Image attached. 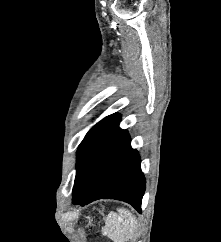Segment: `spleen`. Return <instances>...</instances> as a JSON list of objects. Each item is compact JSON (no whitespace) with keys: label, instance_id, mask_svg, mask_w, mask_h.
<instances>
[{"label":"spleen","instance_id":"3e777b00","mask_svg":"<svg viewBox=\"0 0 221 242\" xmlns=\"http://www.w3.org/2000/svg\"><path fill=\"white\" fill-rule=\"evenodd\" d=\"M104 234L114 242H125L132 239L137 232V221L133 214L125 208L111 212L105 220Z\"/></svg>","mask_w":221,"mask_h":242}]
</instances>
